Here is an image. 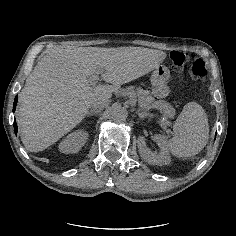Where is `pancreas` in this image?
<instances>
[{
  "label": "pancreas",
  "mask_w": 236,
  "mask_h": 236,
  "mask_svg": "<svg viewBox=\"0 0 236 236\" xmlns=\"http://www.w3.org/2000/svg\"><path fill=\"white\" fill-rule=\"evenodd\" d=\"M132 93H133L132 88L127 87L125 89L116 91L115 96H116V98L121 99V98H123L124 95L130 96V95H132ZM143 104H144L145 108H148V109L152 108V106H153L152 98L146 97L145 100L143 101Z\"/></svg>",
  "instance_id": "obj_1"
}]
</instances>
